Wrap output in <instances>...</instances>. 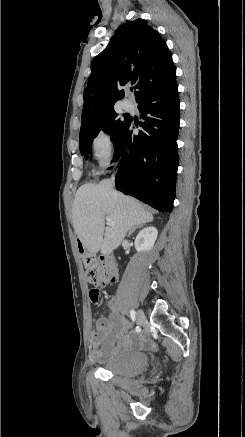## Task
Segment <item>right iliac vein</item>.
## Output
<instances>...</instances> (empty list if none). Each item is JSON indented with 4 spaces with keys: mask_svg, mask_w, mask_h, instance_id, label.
Wrapping results in <instances>:
<instances>
[{
    "mask_svg": "<svg viewBox=\"0 0 245 437\" xmlns=\"http://www.w3.org/2000/svg\"><path fill=\"white\" fill-rule=\"evenodd\" d=\"M136 318H137V323H138L139 325H141V324L144 323V321H145V315H144V312H143L141 309H139V310L137 311Z\"/></svg>",
    "mask_w": 245,
    "mask_h": 437,
    "instance_id": "right-iliac-vein-1",
    "label": "right iliac vein"
}]
</instances>
